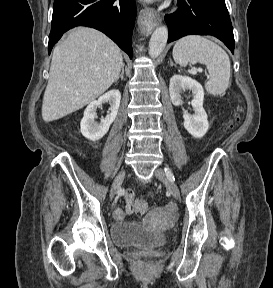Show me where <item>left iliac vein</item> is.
Segmentation results:
<instances>
[{
	"instance_id": "4c4485c4",
	"label": "left iliac vein",
	"mask_w": 273,
	"mask_h": 288,
	"mask_svg": "<svg viewBox=\"0 0 273 288\" xmlns=\"http://www.w3.org/2000/svg\"><path fill=\"white\" fill-rule=\"evenodd\" d=\"M155 177L157 179H159L160 181H162L167 188L169 189V191L172 193V195L176 198L179 199L180 198V191L178 186L173 182L172 179H170L168 177V175L160 168H157L155 170Z\"/></svg>"
}]
</instances>
